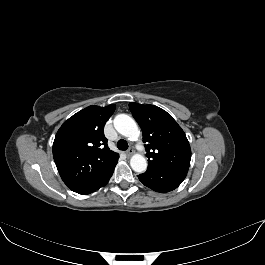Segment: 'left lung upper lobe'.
Returning <instances> with one entry per match:
<instances>
[{
	"label": "left lung upper lobe",
	"instance_id": "left-lung-upper-lobe-1",
	"mask_svg": "<svg viewBox=\"0 0 265 265\" xmlns=\"http://www.w3.org/2000/svg\"><path fill=\"white\" fill-rule=\"evenodd\" d=\"M133 117L143 132L148 171L188 172L191 149L184 131L163 109L155 105L129 103Z\"/></svg>",
	"mask_w": 265,
	"mask_h": 265
}]
</instances>
